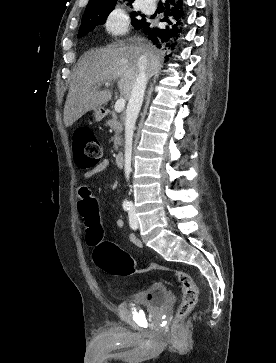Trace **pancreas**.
<instances>
[{
    "instance_id": "obj_1",
    "label": "pancreas",
    "mask_w": 276,
    "mask_h": 363,
    "mask_svg": "<svg viewBox=\"0 0 276 363\" xmlns=\"http://www.w3.org/2000/svg\"><path fill=\"white\" fill-rule=\"evenodd\" d=\"M112 118L109 119L106 124L114 130V149L117 151L119 147L122 145V131H123V121L124 117L121 116L120 120L118 115L115 112L111 113Z\"/></svg>"
}]
</instances>
